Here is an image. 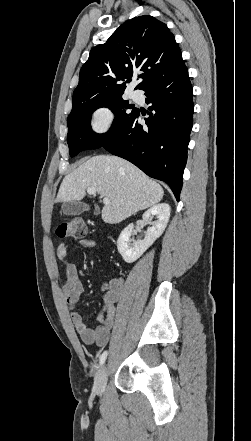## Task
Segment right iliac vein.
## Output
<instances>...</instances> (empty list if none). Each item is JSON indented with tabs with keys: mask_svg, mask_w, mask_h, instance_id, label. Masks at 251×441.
<instances>
[{
	"mask_svg": "<svg viewBox=\"0 0 251 441\" xmlns=\"http://www.w3.org/2000/svg\"><path fill=\"white\" fill-rule=\"evenodd\" d=\"M107 376H108V365L104 364L101 367V369L98 371L93 386L94 392L99 396H101L105 390Z\"/></svg>",
	"mask_w": 251,
	"mask_h": 441,
	"instance_id": "63e3f726",
	"label": "right iliac vein"
}]
</instances>
